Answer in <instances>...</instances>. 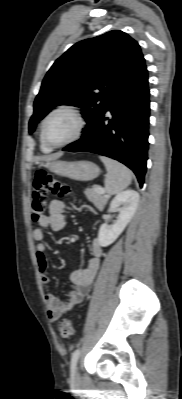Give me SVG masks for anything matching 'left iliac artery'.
I'll return each mask as SVG.
<instances>
[{
    "instance_id": "left-iliac-artery-1",
    "label": "left iliac artery",
    "mask_w": 182,
    "mask_h": 399,
    "mask_svg": "<svg viewBox=\"0 0 182 399\" xmlns=\"http://www.w3.org/2000/svg\"><path fill=\"white\" fill-rule=\"evenodd\" d=\"M79 354H80V349H76L73 353H72V357H71V365H70V369H71V375L73 376L75 373V368H76V364L79 358Z\"/></svg>"
}]
</instances>
